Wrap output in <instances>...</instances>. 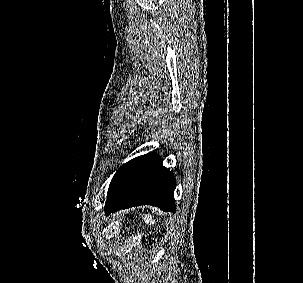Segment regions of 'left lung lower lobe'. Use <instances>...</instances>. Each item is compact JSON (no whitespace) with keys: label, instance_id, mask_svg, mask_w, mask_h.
<instances>
[{"label":"left lung lower lobe","instance_id":"obj_1","mask_svg":"<svg viewBox=\"0 0 303 283\" xmlns=\"http://www.w3.org/2000/svg\"><path fill=\"white\" fill-rule=\"evenodd\" d=\"M176 180L162 165L158 154H145L123 164L115 173L107 192L105 211L150 204L164 211L176 209Z\"/></svg>","mask_w":303,"mask_h":283}]
</instances>
